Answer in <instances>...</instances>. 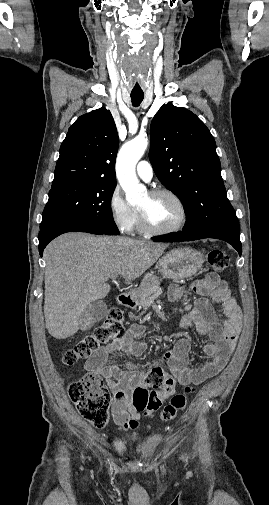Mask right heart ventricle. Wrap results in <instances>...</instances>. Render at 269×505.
<instances>
[{
  "label": "right heart ventricle",
  "mask_w": 269,
  "mask_h": 505,
  "mask_svg": "<svg viewBox=\"0 0 269 505\" xmlns=\"http://www.w3.org/2000/svg\"><path fill=\"white\" fill-rule=\"evenodd\" d=\"M134 227H136V229H137L138 231H140V232L144 231V230L142 229V227H141V224H140L139 215H138V218H137V221H136V223H135V226H134Z\"/></svg>",
  "instance_id": "1"
}]
</instances>
